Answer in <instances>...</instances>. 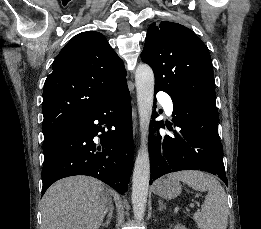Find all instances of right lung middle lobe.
<instances>
[{"mask_svg":"<svg viewBox=\"0 0 261 229\" xmlns=\"http://www.w3.org/2000/svg\"><path fill=\"white\" fill-rule=\"evenodd\" d=\"M59 131L57 130H43V134H44V141L48 140L50 138H52L53 136H55Z\"/></svg>","mask_w":261,"mask_h":229,"instance_id":"right-lung-middle-lobe-1","label":"right lung middle lobe"}]
</instances>
